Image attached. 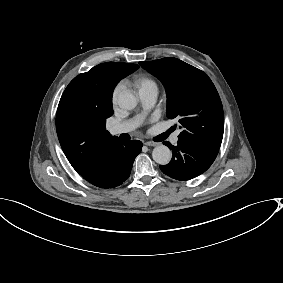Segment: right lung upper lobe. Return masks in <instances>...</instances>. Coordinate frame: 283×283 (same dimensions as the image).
Masks as SVG:
<instances>
[{"mask_svg": "<svg viewBox=\"0 0 283 283\" xmlns=\"http://www.w3.org/2000/svg\"><path fill=\"white\" fill-rule=\"evenodd\" d=\"M138 68L132 63L99 64L75 77L62 94L56 114L57 135L79 174L123 142L106 130V119L113 115L115 86Z\"/></svg>", "mask_w": 283, "mask_h": 283, "instance_id": "1", "label": "right lung upper lobe"}]
</instances>
